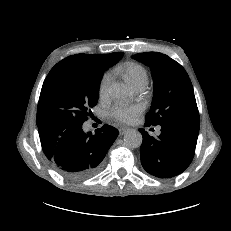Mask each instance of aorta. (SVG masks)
Wrapping results in <instances>:
<instances>
[{"mask_svg":"<svg viewBox=\"0 0 231 231\" xmlns=\"http://www.w3.org/2000/svg\"><path fill=\"white\" fill-rule=\"evenodd\" d=\"M111 96L119 101H126L130 96L128 87L121 83H115L110 87ZM142 135L138 130L129 129L124 135V143L128 148H138L142 144Z\"/></svg>","mask_w":231,"mask_h":231,"instance_id":"1","label":"aorta"}]
</instances>
